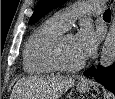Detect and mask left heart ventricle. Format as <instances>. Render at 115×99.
Returning a JSON list of instances; mask_svg holds the SVG:
<instances>
[{"instance_id": "1", "label": "left heart ventricle", "mask_w": 115, "mask_h": 99, "mask_svg": "<svg viewBox=\"0 0 115 99\" xmlns=\"http://www.w3.org/2000/svg\"><path fill=\"white\" fill-rule=\"evenodd\" d=\"M61 53L64 61L68 64H78L83 61L77 49L74 35L65 38L62 44Z\"/></svg>"}]
</instances>
